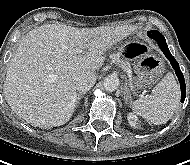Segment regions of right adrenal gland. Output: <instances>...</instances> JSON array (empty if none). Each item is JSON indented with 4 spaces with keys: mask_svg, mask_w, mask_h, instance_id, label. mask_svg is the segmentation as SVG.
<instances>
[{
    "mask_svg": "<svg viewBox=\"0 0 190 165\" xmlns=\"http://www.w3.org/2000/svg\"><path fill=\"white\" fill-rule=\"evenodd\" d=\"M84 92H80L78 93L77 97H76V102H75V107L78 106V104L80 103V99L82 98V96L84 95Z\"/></svg>",
    "mask_w": 190,
    "mask_h": 165,
    "instance_id": "obj_1",
    "label": "right adrenal gland"
}]
</instances>
